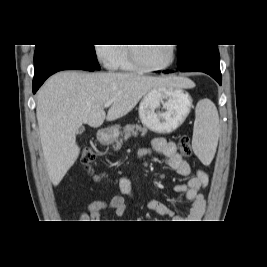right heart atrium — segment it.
<instances>
[{"instance_id":"obj_1","label":"right heart atrium","mask_w":267,"mask_h":267,"mask_svg":"<svg viewBox=\"0 0 267 267\" xmlns=\"http://www.w3.org/2000/svg\"><path fill=\"white\" fill-rule=\"evenodd\" d=\"M95 55L97 59L108 69L115 68V60L118 52V47L112 44H97L95 45Z\"/></svg>"}]
</instances>
